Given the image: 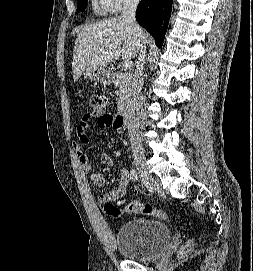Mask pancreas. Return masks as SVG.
<instances>
[{"label": "pancreas", "instance_id": "1", "mask_svg": "<svg viewBox=\"0 0 253 271\" xmlns=\"http://www.w3.org/2000/svg\"><path fill=\"white\" fill-rule=\"evenodd\" d=\"M113 76V83L118 87L119 93L117 108L118 110H122L129 102L134 84V75L132 72H118L113 74Z\"/></svg>", "mask_w": 253, "mask_h": 271}]
</instances>
